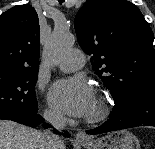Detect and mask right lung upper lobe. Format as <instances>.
Wrapping results in <instances>:
<instances>
[{"instance_id": "right-lung-upper-lobe-1", "label": "right lung upper lobe", "mask_w": 155, "mask_h": 149, "mask_svg": "<svg viewBox=\"0 0 155 149\" xmlns=\"http://www.w3.org/2000/svg\"><path fill=\"white\" fill-rule=\"evenodd\" d=\"M39 20L31 5H17L0 15V70L37 71Z\"/></svg>"}]
</instances>
